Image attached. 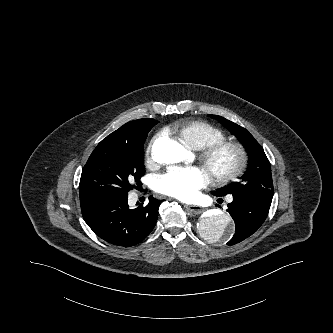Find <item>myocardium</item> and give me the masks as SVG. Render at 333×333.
Instances as JSON below:
<instances>
[{"label":"myocardium","mask_w":333,"mask_h":333,"mask_svg":"<svg viewBox=\"0 0 333 333\" xmlns=\"http://www.w3.org/2000/svg\"><path fill=\"white\" fill-rule=\"evenodd\" d=\"M199 161L206 168L211 179L219 184H225L238 178L247 168L248 152L239 142L222 140L199 149ZM223 152L233 154L232 162L223 168L213 166L214 160Z\"/></svg>","instance_id":"myocardium-1"}]
</instances>
